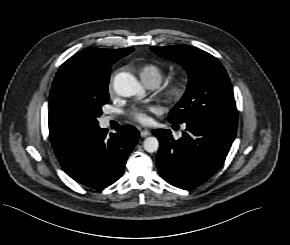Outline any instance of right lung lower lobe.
<instances>
[{"label":"right lung lower lobe","mask_w":290,"mask_h":245,"mask_svg":"<svg viewBox=\"0 0 290 245\" xmlns=\"http://www.w3.org/2000/svg\"><path fill=\"white\" fill-rule=\"evenodd\" d=\"M139 138L132 125H123L107 135L99 126L87 128L54 148L64 171L77 182L99 189L118 180Z\"/></svg>","instance_id":"98d812e1"}]
</instances>
